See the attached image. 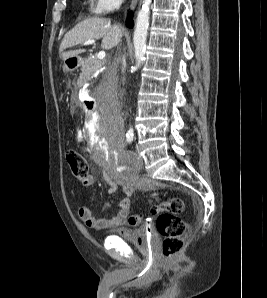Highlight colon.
Returning a JSON list of instances; mask_svg holds the SVG:
<instances>
[{
	"label": "colon",
	"mask_w": 267,
	"mask_h": 298,
	"mask_svg": "<svg viewBox=\"0 0 267 298\" xmlns=\"http://www.w3.org/2000/svg\"><path fill=\"white\" fill-rule=\"evenodd\" d=\"M66 160L73 176L84 183L89 178V167L85 158L74 150L66 153ZM185 209V202L179 197L170 198L154 205L151 213L156 216V228L163 238L162 252L166 259L175 257L184 246V235L187 222L181 216ZM140 215H131L128 222L131 226L143 223Z\"/></svg>",
	"instance_id": "obj_1"
}]
</instances>
